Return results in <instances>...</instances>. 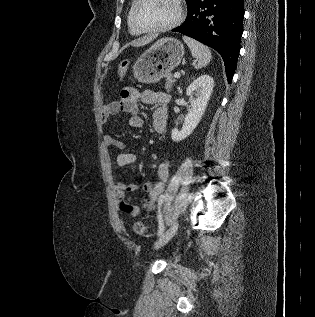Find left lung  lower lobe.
Wrapping results in <instances>:
<instances>
[{
    "label": "left lung lower lobe",
    "mask_w": 315,
    "mask_h": 317,
    "mask_svg": "<svg viewBox=\"0 0 315 317\" xmlns=\"http://www.w3.org/2000/svg\"><path fill=\"white\" fill-rule=\"evenodd\" d=\"M244 0H192L185 22L173 32L192 37L215 49L223 58L231 83L243 33Z\"/></svg>",
    "instance_id": "1"
}]
</instances>
